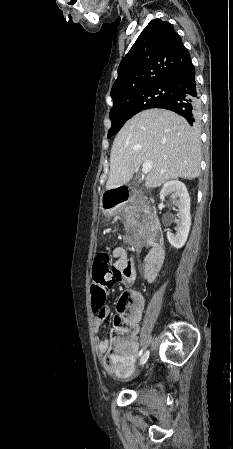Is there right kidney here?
I'll return each mask as SVG.
<instances>
[{
    "instance_id": "obj_1",
    "label": "right kidney",
    "mask_w": 233,
    "mask_h": 449,
    "mask_svg": "<svg viewBox=\"0 0 233 449\" xmlns=\"http://www.w3.org/2000/svg\"><path fill=\"white\" fill-rule=\"evenodd\" d=\"M168 195L171 196L178 207L177 216L179 219L176 221V233L168 231L167 239L174 248L179 249L187 241L191 226L190 197L185 184L178 180H171L164 184L160 192V199L163 200Z\"/></svg>"
}]
</instances>
